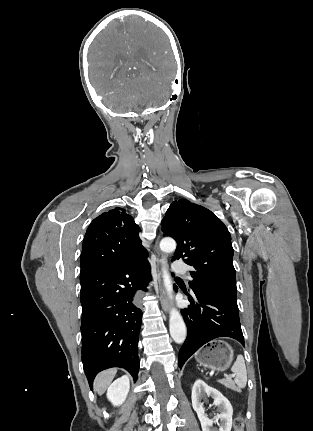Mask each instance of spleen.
Here are the masks:
<instances>
[{
  "label": "spleen",
  "instance_id": "spleen-1",
  "mask_svg": "<svg viewBox=\"0 0 313 431\" xmlns=\"http://www.w3.org/2000/svg\"><path fill=\"white\" fill-rule=\"evenodd\" d=\"M231 371L235 374L234 382L239 388H244L247 384V370L242 355H238Z\"/></svg>",
  "mask_w": 313,
  "mask_h": 431
}]
</instances>
